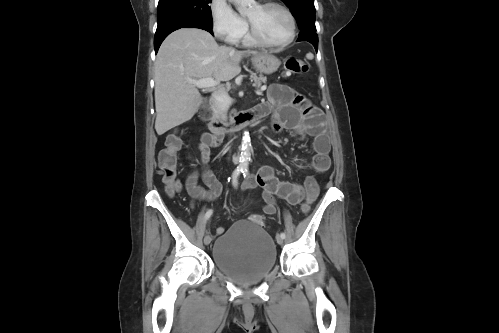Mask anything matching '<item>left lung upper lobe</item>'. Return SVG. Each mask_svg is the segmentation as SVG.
<instances>
[{
    "label": "left lung upper lobe",
    "instance_id": "5c2ea615",
    "mask_svg": "<svg viewBox=\"0 0 499 333\" xmlns=\"http://www.w3.org/2000/svg\"><path fill=\"white\" fill-rule=\"evenodd\" d=\"M297 20L300 30L316 31L314 0H282Z\"/></svg>",
    "mask_w": 499,
    "mask_h": 333
}]
</instances>
